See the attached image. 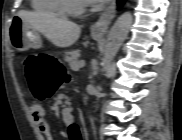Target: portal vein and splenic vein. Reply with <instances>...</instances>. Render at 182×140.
Masks as SVG:
<instances>
[{
  "instance_id": "18ae733b",
  "label": "portal vein and splenic vein",
  "mask_w": 182,
  "mask_h": 140,
  "mask_svg": "<svg viewBox=\"0 0 182 140\" xmlns=\"http://www.w3.org/2000/svg\"><path fill=\"white\" fill-rule=\"evenodd\" d=\"M84 66H85V60L79 61V68L84 67Z\"/></svg>"
}]
</instances>
